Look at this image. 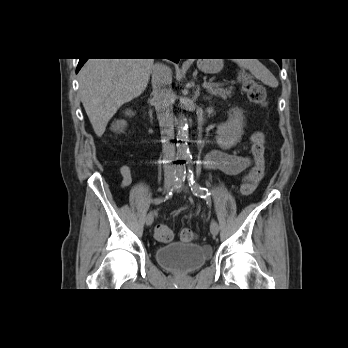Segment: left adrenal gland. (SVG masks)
<instances>
[{
    "instance_id": "1",
    "label": "left adrenal gland",
    "mask_w": 348,
    "mask_h": 348,
    "mask_svg": "<svg viewBox=\"0 0 348 348\" xmlns=\"http://www.w3.org/2000/svg\"><path fill=\"white\" fill-rule=\"evenodd\" d=\"M196 95H199V88L196 91ZM206 99H209V98H206Z\"/></svg>"
}]
</instances>
